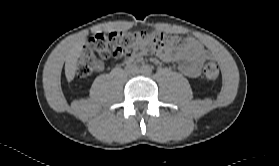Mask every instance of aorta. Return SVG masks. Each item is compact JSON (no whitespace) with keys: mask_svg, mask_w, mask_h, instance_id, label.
I'll return each instance as SVG.
<instances>
[{"mask_svg":"<svg viewBox=\"0 0 279 166\" xmlns=\"http://www.w3.org/2000/svg\"><path fill=\"white\" fill-rule=\"evenodd\" d=\"M142 72L144 73V74H149L150 73V68L149 67H144L143 69H142Z\"/></svg>","mask_w":279,"mask_h":166,"instance_id":"762f6f07","label":"aorta"}]
</instances>
